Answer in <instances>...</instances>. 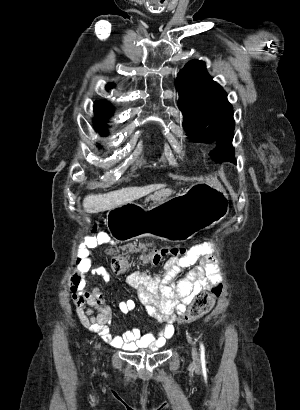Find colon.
Segmentation results:
<instances>
[{"mask_svg":"<svg viewBox=\"0 0 300 410\" xmlns=\"http://www.w3.org/2000/svg\"><path fill=\"white\" fill-rule=\"evenodd\" d=\"M188 253V250L183 246H163L153 249L143 255L145 263L157 266L163 262L168 256L182 257ZM132 264L131 259L122 254H114L111 259V268L116 273L126 272ZM81 276L75 274L71 279V289L78 290L81 286ZM222 293V285H214L210 291H201L197 293L188 309L182 312L179 316L180 323H187L204 316L210 311L214 305L215 299Z\"/></svg>","mask_w":300,"mask_h":410,"instance_id":"1","label":"colon"}]
</instances>
